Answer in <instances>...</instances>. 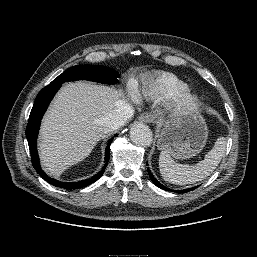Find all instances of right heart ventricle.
Wrapping results in <instances>:
<instances>
[{"label": "right heart ventricle", "mask_w": 257, "mask_h": 257, "mask_svg": "<svg viewBox=\"0 0 257 257\" xmlns=\"http://www.w3.org/2000/svg\"><path fill=\"white\" fill-rule=\"evenodd\" d=\"M188 88V85L177 76L167 72H158L148 76L135 89L138 99L167 100L176 93Z\"/></svg>", "instance_id": "obj_1"}]
</instances>
